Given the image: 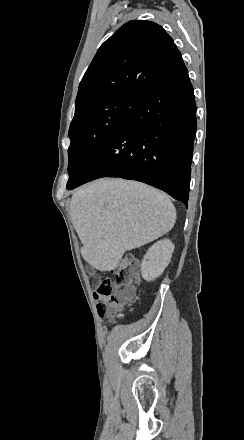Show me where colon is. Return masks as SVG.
Segmentation results:
<instances>
[{
    "mask_svg": "<svg viewBox=\"0 0 244 440\" xmlns=\"http://www.w3.org/2000/svg\"><path fill=\"white\" fill-rule=\"evenodd\" d=\"M115 279L104 278L100 281L99 275H88V284L95 289L94 300L104 317L114 318L123 313L134 297V284L139 281L138 263L133 259H125L113 270Z\"/></svg>",
    "mask_w": 244,
    "mask_h": 440,
    "instance_id": "1",
    "label": "colon"
}]
</instances>
